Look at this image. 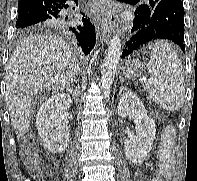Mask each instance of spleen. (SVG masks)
<instances>
[{"instance_id": "obj_1", "label": "spleen", "mask_w": 197, "mask_h": 181, "mask_svg": "<svg viewBox=\"0 0 197 181\" xmlns=\"http://www.w3.org/2000/svg\"><path fill=\"white\" fill-rule=\"evenodd\" d=\"M150 60L146 64L150 79L145 89L161 108L178 111L185 101L183 68L173 46L167 41L150 45Z\"/></svg>"}]
</instances>
